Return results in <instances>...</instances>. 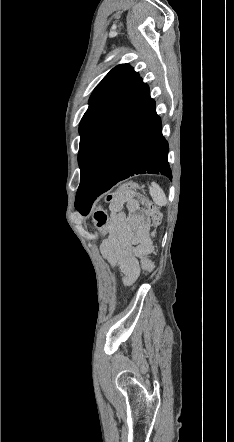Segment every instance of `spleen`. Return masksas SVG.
I'll return each instance as SVG.
<instances>
[{
	"mask_svg": "<svg viewBox=\"0 0 234 442\" xmlns=\"http://www.w3.org/2000/svg\"><path fill=\"white\" fill-rule=\"evenodd\" d=\"M150 195L154 203L157 204L158 206L167 205V198L165 196V193L158 184L156 183L152 184V187L150 188Z\"/></svg>",
	"mask_w": 234,
	"mask_h": 442,
	"instance_id": "obj_1",
	"label": "spleen"
}]
</instances>
